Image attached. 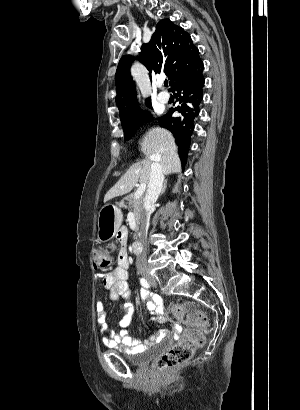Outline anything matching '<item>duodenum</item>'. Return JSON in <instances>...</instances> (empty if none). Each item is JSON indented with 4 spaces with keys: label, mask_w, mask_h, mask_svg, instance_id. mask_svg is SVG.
<instances>
[{
    "label": "duodenum",
    "mask_w": 300,
    "mask_h": 410,
    "mask_svg": "<svg viewBox=\"0 0 300 410\" xmlns=\"http://www.w3.org/2000/svg\"><path fill=\"white\" fill-rule=\"evenodd\" d=\"M142 249V243L139 240H136L132 243V250L135 254H139Z\"/></svg>",
    "instance_id": "410a0bca"
}]
</instances>
